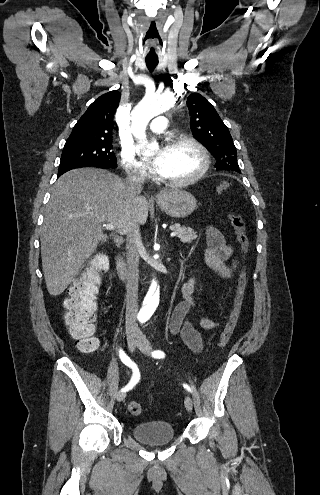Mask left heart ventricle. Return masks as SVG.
I'll return each mask as SVG.
<instances>
[{
    "label": "left heart ventricle",
    "mask_w": 320,
    "mask_h": 495,
    "mask_svg": "<svg viewBox=\"0 0 320 495\" xmlns=\"http://www.w3.org/2000/svg\"><path fill=\"white\" fill-rule=\"evenodd\" d=\"M163 156L162 175L173 180H182L195 174L201 167L199 153L190 145L181 144L159 151L156 158Z\"/></svg>",
    "instance_id": "1"
}]
</instances>
